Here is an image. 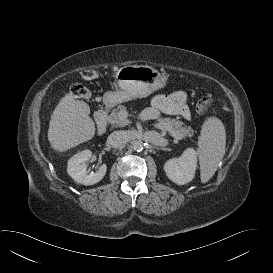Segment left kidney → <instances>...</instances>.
Returning a JSON list of instances; mask_svg holds the SVG:
<instances>
[{
    "instance_id": "obj_1",
    "label": "left kidney",
    "mask_w": 273,
    "mask_h": 273,
    "mask_svg": "<svg viewBox=\"0 0 273 273\" xmlns=\"http://www.w3.org/2000/svg\"><path fill=\"white\" fill-rule=\"evenodd\" d=\"M197 167V153L193 148L186 149L178 158L164 164L167 177L178 185H184L194 178Z\"/></svg>"
}]
</instances>
